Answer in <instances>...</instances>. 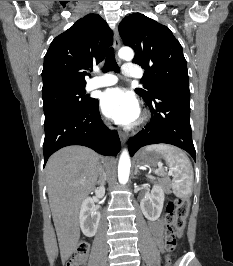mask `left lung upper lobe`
Masks as SVG:
<instances>
[{
  "label": "left lung upper lobe",
  "mask_w": 233,
  "mask_h": 266,
  "mask_svg": "<svg viewBox=\"0 0 233 266\" xmlns=\"http://www.w3.org/2000/svg\"><path fill=\"white\" fill-rule=\"evenodd\" d=\"M125 45L135 51L133 63L144 69L145 89L136 92L151 101L163 91L189 88L187 63L182 46L170 29L140 13L126 16L119 25Z\"/></svg>",
  "instance_id": "5c2ea615"
}]
</instances>
